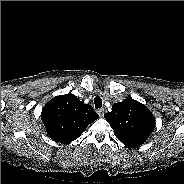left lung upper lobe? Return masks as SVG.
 <instances>
[{
    "label": "left lung upper lobe",
    "instance_id": "left-lung-upper-lobe-1",
    "mask_svg": "<svg viewBox=\"0 0 184 184\" xmlns=\"http://www.w3.org/2000/svg\"><path fill=\"white\" fill-rule=\"evenodd\" d=\"M115 136L128 147L142 145L155 128L151 111L140 102L126 98L112 105V111L104 114Z\"/></svg>",
    "mask_w": 184,
    "mask_h": 184
}]
</instances>
